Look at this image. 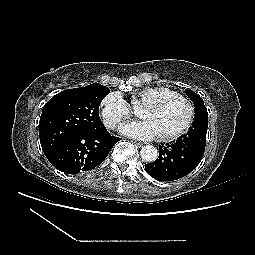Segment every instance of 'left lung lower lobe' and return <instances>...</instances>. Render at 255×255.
<instances>
[{
  "label": "left lung lower lobe",
  "instance_id": "1",
  "mask_svg": "<svg viewBox=\"0 0 255 255\" xmlns=\"http://www.w3.org/2000/svg\"><path fill=\"white\" fill-rule=\"evenodd\" d=\"M206 128L195 129L175 143L159 147V158L146 164V172L159 181L180 179L196 168L206 145Z\"/></svg>",
  "mask_w": 255,
  "mask_h": 255
}]
</instances>
